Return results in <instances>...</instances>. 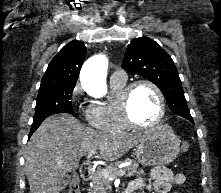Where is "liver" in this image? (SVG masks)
<instances>
[{"label":"liver","mask_w":221,"mask_h":193,"mask_svg":"<svg viewBox=\"0 0 221 193\" xmlns=\"http://www.w3.org/2000/svg\"><path fill=\"white\" fill-rule=\"evenodd\" d=\"M151 131L110 134L90 129L68 114L45 119L31 136L25 150V173L30 193H60L59 183L78 168L91 149L105 161L121 158Z\"/></svg>","instance_id":"obj_1"}]
</instances>
